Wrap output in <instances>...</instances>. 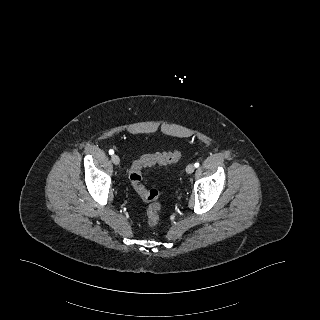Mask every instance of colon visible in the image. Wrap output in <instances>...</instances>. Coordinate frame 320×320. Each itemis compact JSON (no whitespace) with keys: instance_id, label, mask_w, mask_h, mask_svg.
Returning <instances> with one entry per match:
<instances>
[{"instance_id":"1","label":"colon","mask_w":320,"mask_h":320,"mask_svg":"<svg viewBox=\"0 0 320 320\" xmlns=\"http://www.w3.org/2000/svg\"><path fill=\"white\" fill-rule=\"evenodd\" d=\"M181 151L145 154L133 162L129 170V179L134 190L148 203L147 222L151 227L156 226L160 220L161 201L156 189H147L142 183V168L154 164H170L180 160Z\"/></svg>"}]
</instances>
